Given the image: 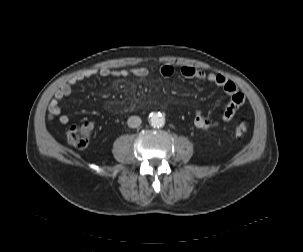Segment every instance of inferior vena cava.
<instances>
[{"mask_svg": "<svg viewBox=\"0 0 303 252\" xmlns=\"http://www.w3.org/2000/svg\"><path fill=\"white\" fill-rule=\"evenodd\" d=\"M141 118L138 116H131L128 118L127 124L130 128H137L141 124Z\"/></svg>", "mask_w": 303, "mask_h": 252, "instance_id": "1", "label": "inferior vena cava"}]
</instances>
